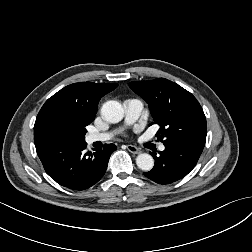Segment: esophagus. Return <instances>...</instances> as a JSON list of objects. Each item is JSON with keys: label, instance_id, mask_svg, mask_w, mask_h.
Wrapping results in <instances>:
<instances>
[{"label": "esophagus", "instance_id": "obj_1", "mask_svg": "<svg viewBox=\"0 0 252 252\" xmlns=\"http://www.w3.org/2000/svg\"><path fill=\"white\" fill-rule=\"evenodd\" d=\"M127 149L129 152H131L133 154H140L141 153V150L134 145H127Z\"/></svg>", "mask_w": 252, "mask_h": 252}]
</instances>
